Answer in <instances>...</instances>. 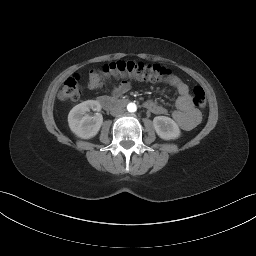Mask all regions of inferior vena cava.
I'll return each mask as SVG.
<instances>
[{
	"label": "inferior vena cava",
	"instance_id": "602c4592",
	"mask_svg": "<svg viewBox=\"0 0 256 256\" xmlns=\"http://www.w3.org/2000/svg\"><path fill=\"white\" fill-rule=\"evenodd\" d=\"M124 113V110L121 107H114L111 110V115L112 116H120Z\"/></svg>",
	"mask_w": 256,
	"mask_h": 256
}]
</instances>
